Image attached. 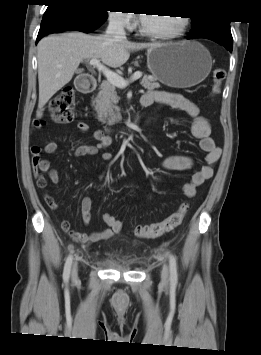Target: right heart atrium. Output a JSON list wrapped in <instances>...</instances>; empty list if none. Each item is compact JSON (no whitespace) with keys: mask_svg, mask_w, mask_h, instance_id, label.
Returning <instances> with one entry per match:
<instances>
[{"mask_svg":"<svg viewBox=\"0 0 261 355\" xmlns=\"http://www.w3.org/2000/svg\"><path fill=\"white\" fill-rule=\"evenodd\" d=\"M108 20L114 27L122 30H131L135 26L133 14L125 10L110 11Z\"/></svg>","mask_w":261,"mask_h":355,"instance_id":"right-heart-atrium-1","label":"right heart atrium"}]
</instances>
